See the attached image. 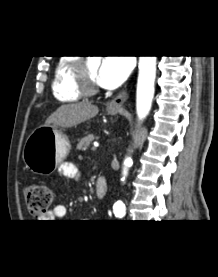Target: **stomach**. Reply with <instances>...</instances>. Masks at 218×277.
Returning <instances> with one entry per match:
<instances>
[{"label": "stomach", "mask_w": 218, "mask_h": 277, "mask_svg": "<svg viewBox=\"0 0 218 277\" xmlns=\"http://www.w3.org/2000/svg\"><path fill=\"white\" fill-rule=\"evenodd\" d=\"M107 111L110 115L118 112L116 109ZM69 150L67 136L56 125L41 126L28 136L22 158L34 174L48 175L66 158Z\"/></svg>", "instance_id": "obj_1"}]
</instances>
